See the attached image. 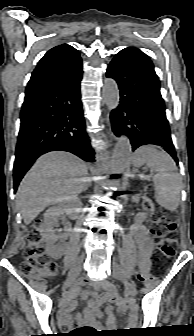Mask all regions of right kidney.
<instances>
[{
    "label": "right kidney",
    "instance_id": "ca27d5eb",
    "mask_svg": "<svg viewBox=\"0 0 194 336\" xmlns=\"http://www.w3.org/2000/svg\"><path fill=\"white\" fill-rule=\"evenodd\" d=\"M79 206L81 201L77 197H68L57 205L50 207L44 213L43 223L40 227V235L46 243L48 253L54 258H60L63 251V245L57 244L58 235L54 227H58V218L66 212L71 215Z\"/></svg>",
    "mask_w": 194,
    "mask_h": 336
}]
</instances>
